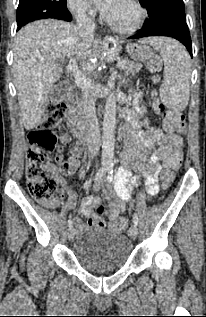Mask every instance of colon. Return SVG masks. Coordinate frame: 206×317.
<instances>
[{
  "mask_svg": "<svg viewBox=\"0 0 206 317\" xmlns=\"http://www.w3.org/2000/svg\"><path fill=\"white\" fill-rule=\"evenodd\" d=\"M148 64L151 69L155 70L159 67L160 62L157 58H153ZM67 110L65 103L48 107L47 118L28 134L26 177L29 193L36 200H50L57 191L58 183L52 174L50 153L60 152L58 146L59 129L67 117ZM160 110L163 112L164 126L168 131H174L179 134L185 133L186 119L182 113L166 110L164 107H161ZM181 159L182 153L179 149H175L167 158L162 173L164 184L172 181L175 172L179 168ZM57 160L60 162L62 173L69 174L73 171L71 162L62 161L59 156ZM96 213L102 216L105 213V208L102 205H98ZM112 228L117 231H124L127 228V224L125 221L117 219L113 221Z\"/></svg>",
  "mask_w": 206,
  "mask_h": 317,
  "instance_id": "colon-1",
  "label": "colon"
}]
</instances>
